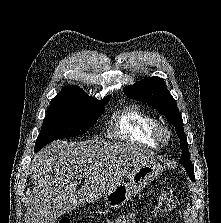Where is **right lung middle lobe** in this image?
<instances>
[{
  "label": "right lung middle lobe",
  "instance_id": "right-lung-middle-lobe-1",
  "mask_svg": "<svg viewBox=\"0 0 221 223\" xmlns=\"http://www.w3.org/2000/svg\"><path fill=\"white\" fill-rule=\"evenodd\" d=\"M109 101L50 103L37 138L35 152L51 141L86 133L104 112Z\"/></svg>",
  "mask_w": 221,
  "mask_h": 223
}]
</instances>
